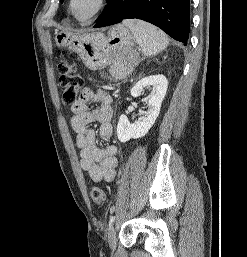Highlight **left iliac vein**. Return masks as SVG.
<instances>
[{
	"instance_id": "left-iliac-vein-1",
	"label": "left iliac vein",
	"mask_w": 247,
	"mask_h": 257,
	"mask_svg": "<svg viewBox=\"0 0 247 257\" xmlns=\"http://www.w3.org/2000/svg\"><path fill=\"white\" fill-rule=\"evenodd\" d=\"M108 244L112 250L116 248V229L114 226L110 227L108 231Z\"/></svg>"
}]
</instances>
